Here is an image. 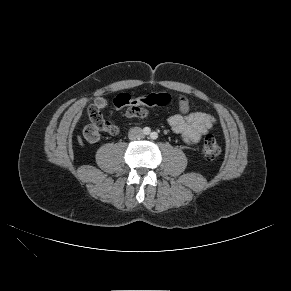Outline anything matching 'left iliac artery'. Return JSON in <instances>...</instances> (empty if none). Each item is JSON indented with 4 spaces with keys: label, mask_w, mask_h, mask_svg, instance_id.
I'll list each match as a JSON object with an SVG mask.
<instances>
[{
    "label": "left iliac artery",
    "mask_w": 291,
    "mask_h": 291,
    "mask_svg": "<svg viewBox=\"0 0 291 291\" xmlns=\"http://www.w3.org/2000/svg\"><path fill=\"white\" fill-rule=\"evenodd\" d=\"M150 137H151V139H157L158 138V134L156 133V132H152L151 134H150Z\"/></svg>",
    "instance_id": "obj_1"
}]
</instances>
